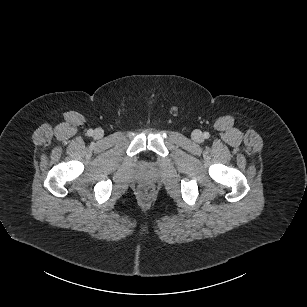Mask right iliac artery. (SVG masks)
<instances>
[{
    "mask_svg": "<svg viewBox=\"0 0 307 307\" xmlns=\"http://www.w3.org/2000/svg\"><path fill=\"white\" fill-rule=\"evenodd\" d=\"M87 134H88L89 136H92V135H93V130H92V129L88 130Z\"/></svg>",
    "mask_w": 307,
    "mask_h": 307,
    "instance_id": "right-iliac-artery-1",
    "label": "right iliac artery"
}]
</instances>
